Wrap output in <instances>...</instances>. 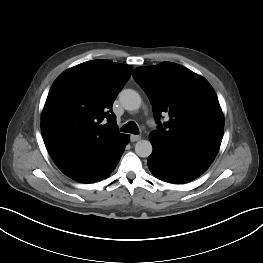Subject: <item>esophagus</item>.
<instances>
[{"label": "esophagus", "mask_w": 263, "mask_h": 263, "mask_svg": "<svg viewBox=\"0 0 263 263\" xmlns=\"http://www.w3.org/2000/svg\"><path fill=\"white\" fill-rule=\"evenodd\" d=\"M140 139H141L140 135H131L130 136L131 142H136V141H139Z\"/></svg>", "instance_id": "esophagus-1"}]
</instances>
